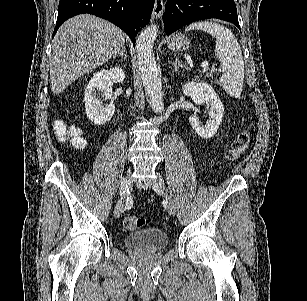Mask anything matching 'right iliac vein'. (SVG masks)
<instances>
[{
	"label": "right iliac vein",
	"instance_id": "63e3f726",
	"mask_svg": "<svg viewBox=\"0 0 307 301\" xmlns=\"http://www.w3.org/2000/svg\"><path fill=\"white\" fill-rule=\"evenodd\" d=\"M130 181H131V171L129 170L128 175L123 177L121 180V185H120L121 197L118 199L117 204L115 206V210H114L115 218H119L123 213L124 201L126 197L128 196V191L130 188Z\"/></svg>",
	"mask_w": 307,
	"mask_h": 301
}]
</instances>
